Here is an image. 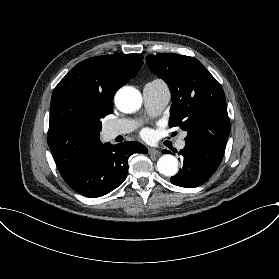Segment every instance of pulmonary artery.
I'll return each instance as SVG.
<instances>
[{
	"label": "pulmonary artery",
	"mask_w": 279,
	"mask_h": 279,
	"mask_svg": "<svg viewBox=\"0 0 279 279\" xmlns=\"http://www.w3.org/2000/svg\"><path fill=\"white\" fill-rule=\"evenodd\" d=\"M171 97L170 90L165 81L155 79L143 87V100L147 111L152 115H159L168 104ZM138 126L134 119H120L105 125L104 132L108 137H117L133 131ZM185 145L183 139L178 142V148Z\"/></svg>",
	"instance_id": "obj_1"
}]
</instances>
